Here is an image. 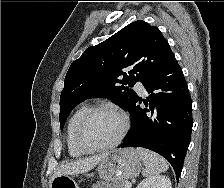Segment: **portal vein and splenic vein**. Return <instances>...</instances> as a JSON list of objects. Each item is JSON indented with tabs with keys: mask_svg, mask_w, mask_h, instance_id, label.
<instances>
[{
	"mask_svg": "<svg viewBox=\"0 0 224 188\" xmlns=\"http://www.w3.org/2000/svg\"><path fill=\"white\" fill-rule=\"evenodd\" d=\"M132 187V184L130 182H127L126 183V188H131Z\"/></svg>",
	"mask_w": 224,
	"mask_h": 188,
	"instance_id": "1",
	"label": "portal vein and splenic vein"
}]
</instances>
